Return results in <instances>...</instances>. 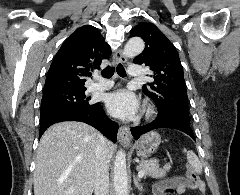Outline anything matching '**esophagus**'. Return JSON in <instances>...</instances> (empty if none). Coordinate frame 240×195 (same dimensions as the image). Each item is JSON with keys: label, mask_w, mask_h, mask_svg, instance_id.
I'll return each mask as SVG.
<instances>
[{"label": "esophagus", "mask_w": 240, "mask_h": 195, "mask_svg": "<svg viewBox=\"0 0 240 195\" xmlns=\"http://www.w3.org/2000/svg\"><path fill=\"white\" fill-rule=\"evenodd\" d=\"M126 61V57L123 54L122 50H117L113 55V63L117 65L118 63H124ZM119 142L125 147L129 146L132 140V135L129 127L126 125H122L117 133Z\"/></svg>", "instance_id": "34e87169"}]
</instances>
